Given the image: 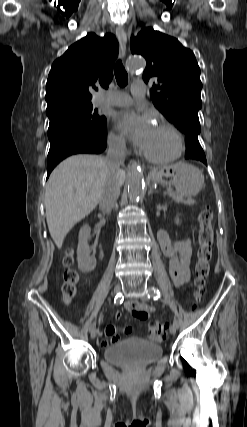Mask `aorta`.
Masks as SVG:
<instances>
[{
  "label": "aorta",
  "mask_w": 247,
  "mask_h": 427,
  "mask_svg": "<svg viewBox=\"0 0 247 427\" xmlns=\"http://www.w3.org/2000/svg\"><path fill=\"white\" fill-rule=\"evenodd\" d=\"M145 60L142 57H131L127 61V67L131 74H135L138 70L143 69ZM145 195V182L142 169L140 166H135L128 178V196L132 204H136L143 199Z\"/></svg>",
  "instance_id": "aorta-1"
}]
</instances>
